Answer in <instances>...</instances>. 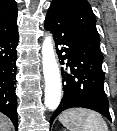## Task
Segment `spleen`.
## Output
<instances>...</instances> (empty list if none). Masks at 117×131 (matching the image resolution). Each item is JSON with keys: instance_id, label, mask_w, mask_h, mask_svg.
Segmentation results:
<instances>
[{"instance_id": "obj_1", "label": "spleen", "mask_w": 117, "mask_h": 131, "mask_svg": "<svg viewBox=\"0 0 117 131\" xmlns=\"http://www.w3.org/2000/svg\"><path fill=\"white\" fill-rule=\"evenodd\" d=\"M59 121L69 131H108L102 116L92 110L72 108L59 116Z\"/></svg>"}]
</instances>
